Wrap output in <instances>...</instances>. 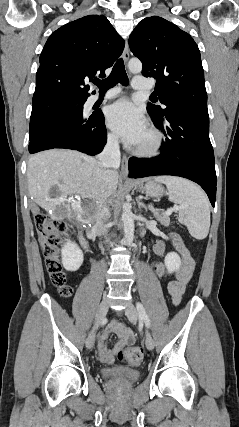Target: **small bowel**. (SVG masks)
Wrapping results in <instances>:
<instances>
[{"label":"small bowel","mask_w":239,"mask_h":427,"mask_svg":"<svg viewBox=\"0 0 239 427\" xmlns=\"http://www.w3.org/2000/svg\"><path fill=\"white\" fill-rule=\"evenodd\" d=\"M172 244L175 251L181 257V265L175 274V278L168 282L166 290L172 298L174 305L179 304L185 287L191 279L194 269L195 261L190 256L188 249L185 247L181 239L176 235H172ZM156 253V251H155ZM116 335L119 340L112 349L106 346V340L110 335ZM134 342L133 332L124 326L119 321H112L102 333L98 341V356L99 359L108 365L114 363L116 354L121 351L125 346L131 345Z\"/></svg>","instance_id":"c3829d8e"}]
</instances>
